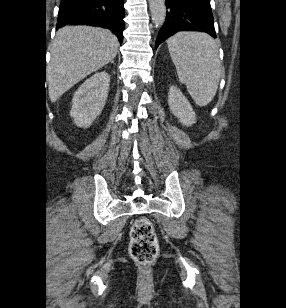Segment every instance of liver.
I'll return each instance as SVG.
<instances>
[{
	"label": "liver",
	"instance_id": "obj_1",
	"mask_svg": "<svg viewBox=\"0 0 286 308\" xmlns=\"http://www.w3.org/2000/svg\"><path fill=\"white\" fill-rule=\"evenodd\" d=\"M117 37L109 30L66 26L56 33L47 70L48 94L56 102L66 91L112 61Z\"/></svg>",
	"mask_w": 286,
	"mask_h": 308
}]
</instances>
